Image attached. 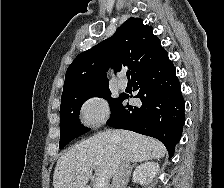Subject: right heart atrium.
Masks as SVG:
<instances>
[{"mask_svg": "<svg viewBox=\"0 0 224 188\" xmlns=\"http://www.w3.org/2000/svg\"><path fill=\"white\" fill-rule=\"evenodd\" d=\"M109 104L102 96L87 98L80 107L82 122L90 128L101 126L109 118Z\"/></svg>", "mask_w": 224, "mask_h": 188, "instance_id": "right-heart-atrium-1", "label": "right heart atrium"}]
</instances>
